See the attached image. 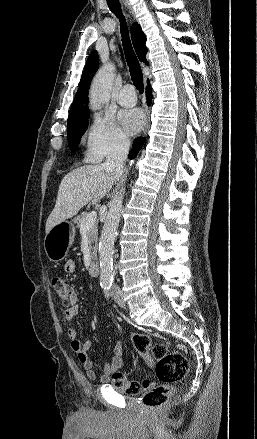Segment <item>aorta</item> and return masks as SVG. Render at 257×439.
<instances>
[{
	"mask_svg": "<svg viewBox=\"0 0 257 439\" xmlns=\"http://www.w3.org/2000/svg\"><path fill=\"white\" fill-rule=\"evenodd\" d=\"M114 79L112 65L105 66L95 77L90 90V108L100 109L108 100ZM123 194L120 192L110 202L109 211L99 240L100 283L109 285L113 281L114 241L121 218Z\"/></svg>",
	"mask_w": 257,
	"mask_h": 439,
	"instance_id": "obj_1",
	"label": "aorta"
}]
</instances>
